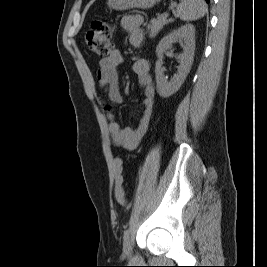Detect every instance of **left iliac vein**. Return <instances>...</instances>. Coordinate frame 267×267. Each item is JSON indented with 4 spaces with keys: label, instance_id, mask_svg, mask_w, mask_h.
Instances as JSON below:
<instances>
[{
    "label": "left iliac vein",
    "instance_id": "4c4485c4",
    "mask_svg": "<svg viewBox=\"0 0 267 267\" xmlns=\"http://www.w3.org/2000/svg\"><path fill=\"white\" fill-rule=\"evenodd\" d=\"M123 252L127 256H129L132 252L131 240H130L129 236L124 239Z\"/></svg>",
    "mask_w": 267,
    "mask_h": 267
}]
</instances>
